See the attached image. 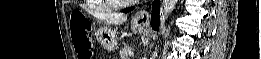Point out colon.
Listing matches in <instances>:
<instances>
[{
	"instance_id": "colon-1",
	"label": "colon",
	"mask_w": 261,
	"mask_h": 59,
	"mask_svg": "<svg viewBox=\"0 0 261 59\" xmlns=\"http://www.w3.org/2000/svg\"><path fill=\"white\" fill-rule=\"evenodd\" d=\"M70 29L74 50L78 58H92V43L85 23L77 17H73L70 22Z\"/></svg>"
}]
</instances>
